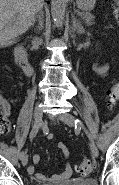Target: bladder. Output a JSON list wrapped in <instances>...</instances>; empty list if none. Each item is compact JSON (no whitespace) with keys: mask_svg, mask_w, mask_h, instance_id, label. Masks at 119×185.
Instances as JSON below:
<instances>
[{"mask_svg":"<svg viewBox=\"0 0 119 185\" xmlns=\"http://www.w3.org/2000/svg\"><path fill=\"white\" fill-rule=\"evenodd\" d=\"M48 185H98L95 179H69Z\"/></svg>","mask_w":119,"mask_h":185,"instance_id":"31cf9c89","label":"bladder"}]
</instances>
